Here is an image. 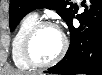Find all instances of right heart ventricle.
Instances as JSON below:
<instances>
[{
    "label": "right heart ventricle",
    "mask_w": 102,
    "mask_h": 75,
    "mask_svg": "<svg viewBox=\"0 0 102 75\" xmlns=\"http://www.w3.org/2000/svg\"><path fill=\"white\" fill-rule=\"evenodd\" d=\"M37 21L38 15L36 13L26 14L20 21V24L13 36L11 43L12 58L15 65L19 68L26 69L31 66L24 56L23 41L27 33Z\"/></svg>",
    "instance_id": "right-heart-ventricle-1"
}]
</instances>
